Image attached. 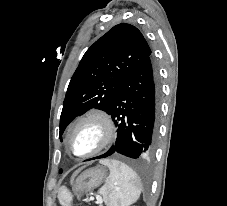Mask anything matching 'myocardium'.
Masks as SVG:
<instances>
[{
	"label": "myocardium",
	"instance_id": "obj_1",
	"mask_svg": "<svg viewBox=\"0 0 227 206\" xmlns=\"http://www.w3.org/2000/svg\"><path fill=\"white\" fill-rule=\"evenodd\" d=\"M89 121L97 122L102 130V136L99 144L91 151L84 154H76L71 147V138L73 133L84 123ZM116 128L111 115L100 108L91 109L83 114L71 127L67 136V148L76 157L88 158L97 155L104 149H106L115 139Z\"/></svg>",
	"mask_w": 227,
	"mask_h": 206
}]
</instances>
